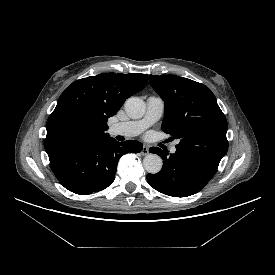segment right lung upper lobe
<instances>
[{
	"mask_svg": "<svg viewBox=\"0 0 275 275\" xmlns=\"http://www.w3.org/2000/svg\"><path fill=\"white\" fill-rule=\"evenodd\" d=\"M147 81L146 74L102 73L73 82L48 118L44 141L48 156L110 138L105 132L108 118Z\"/></svg>",
	"mask_w": 275,
	"mask_h": 275,
	"instance_id": "cb5924a9",
	"label": "right lung upper lobe"
}]
</instances>
